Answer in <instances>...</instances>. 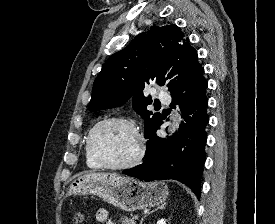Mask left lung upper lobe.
I'll use <instances>...</instances> for the list:
<instances>
[{
  "instance_id": "5c2ea615",
  "label": "left lung upper lobe",
  "mask_w": 275,
  "mask_h": 224,
  "mask_svg": "<svg viewBox=\"0 0 275 224\" xmlns=\"http://www.w3.org/2000/svg\"><path fill=\"white\" fill-rule=\"evenodd\" d=\"M166 66H173L172 72L179 74L177 84L166 75ZM201 68L196 50L175 24L151 27L107 59L94 81L89 110L118 107L132 96L133 108L145 120L147 134L161 116L147 110L152 98L143 95L145 86L166 84L172 93Z\"/></svg>"
}]
</instances>
